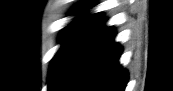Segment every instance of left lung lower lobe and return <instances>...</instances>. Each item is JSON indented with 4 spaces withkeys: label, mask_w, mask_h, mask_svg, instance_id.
<instances>
[{
    "label": "left lung lower lobe",
    "mask_w": 173,
    "mask_h": 91,
    "mask_svg": "<svg viewBox=\"0 0 173 91\" xmlns=\"http://www.w3.org/2000/svg\"><path fill=\"white\" fill-rule=\"evenodd\" d=\"M105 22L102 18L72 52L50 91H124L128 73L118 63L122 47Z\"/></svg>",
    "instance_id": "left-lung-lower-lobe-1"
}]
</instances>
